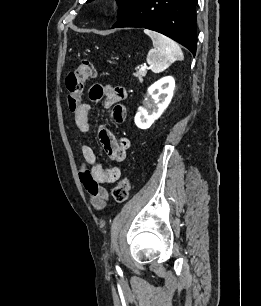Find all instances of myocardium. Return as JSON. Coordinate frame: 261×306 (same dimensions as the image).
Masks as SVG:
<instances>
[{"label": "myocardium", "instance_id": "myocardium-1", "mask_svg": "<svg viewBox=\"0 0 261 306\" xmlns=\"http://www.w3.org/2000/svg\"><path fill=\"white\" fill-rule=\"evenodd\" d=\"M111 5H112V3L109 2V3H108V6H111Z\"/></svg>", "mask_w": 261, "mask_h": 306}]
</instances>
